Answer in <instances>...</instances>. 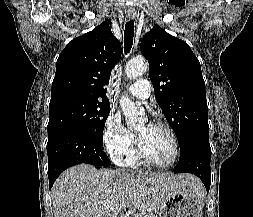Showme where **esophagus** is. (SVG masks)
<instances>
[{
    "instance_id": "1",
    "label": "esophagus",
    "mask_w": 253,
    "mask_h": 217,
    "mask_svg": "<svg viewBox=\"0 0 253 217\" xmlns=\"http://www.w3.org/2000/svg\"><path fill=\"white\" fill-rule=\"evenodd\" d=\"M135 11L133 9H129L126 13V17L128 20L133 19L135 17Z\"/></svg>"
}]
</instances>
